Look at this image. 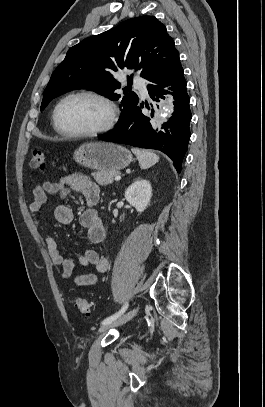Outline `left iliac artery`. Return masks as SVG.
<instances>
[{
	"instance_id": "44dca946",
	"label": "left iliac artery",
	"mask_w": 265,
	"mask_h": 407,
	"mask_svg": "<svg viewBox=\"0 0 265 407\" xmlns=\"http://www.w3.org/2000/svg\"><path fill=\"white\" fill-rule=\"evenodd\" d=\"M127 308H128V303H126V304L121 308V310L118 311L117 313H115V314H113V315H111V316L105 318V319L102 321V324L104 325V324H108V323L114 321V320L117 319L119 316H121V315L127 310Z\"/></svg>"
}]
</instances>
